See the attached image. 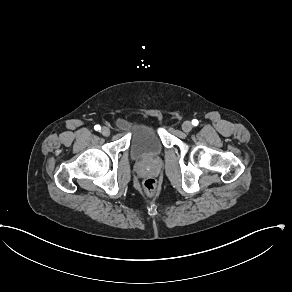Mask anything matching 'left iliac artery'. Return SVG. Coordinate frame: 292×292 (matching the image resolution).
Segmentation results:
<instances>
[{"label": "left iliac artery", "mask_w": 292, "mask_h": 292, "mask_svg": "<svg viewBox=\"0 0 292 292\" xmlns=\"http://www.w3.org/2000/svg\"><path fill=\"white\" fill-rule=\"evenodd\" d=\"M192 124H193L194 126H197V125L199 124V122H198L197 119H193V120H192Z\"/></svg>", "instance_id": "44dca946"}]
</instances>
